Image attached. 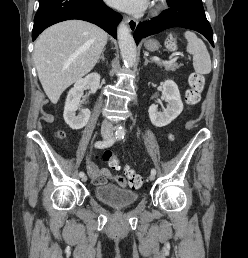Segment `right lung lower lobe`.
Returning a JSON list of instances; mask_svg holds the SVG:
<instances>
[{"label": "right lung lower lobe", "mask_w": 248, "mask_h": 258, "mask_svg": "<svg viewBox=\"0 0 248 258\" xmlns=\"http://www.w3.org/2000/svg\"><path fill=\"white\" fill-rule=\"evenodd\" d=\"M70 19L94 23L117 38L116 28L122 16L107 7L103 0H39L32 39L35 40L47 27Z\"/></svg>", "instance_id": "98d812e1"}]
</instances>
